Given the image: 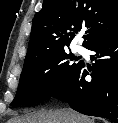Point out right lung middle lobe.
<instances>
[{
    "mask_svg": "<svg viewBox=\"0 0 118 123\" xmlns=\"http://www.w3.org/2000/svg\"><path fill=\"white\" fill-rule=\"evenodd\" d=\"M75 60L67 49L58 50L24 65L16 96L11 106L34 104L49 99L78 70L82 61Z\"/></svg>",
    "mask_w": 118,
    "mask_h": 123,
    "instance_id": "dd1d6c3e",
    "label": "right lung middle lobe"
}]
</instances>
